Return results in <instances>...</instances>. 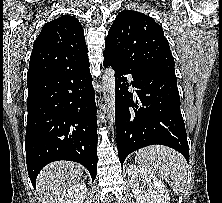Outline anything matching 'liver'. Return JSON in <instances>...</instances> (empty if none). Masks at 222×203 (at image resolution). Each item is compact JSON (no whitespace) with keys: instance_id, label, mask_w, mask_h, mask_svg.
<instances>
[{"instance_id":"1","label":"liver","mask_w":222,"mask_h":203,"mask_svg":"<svg viewBox=\"0 0 222 203\" xmlns=\"http://www.w3.org/2000/svg\"><path fill=\"white\" fill-rule=\"evenodd\" d=\"M82 174L81 166L75 162L56 161L44 167L36 182L39 203H58L70 187L79 183Z\"/></svg>"}]
</instances>
